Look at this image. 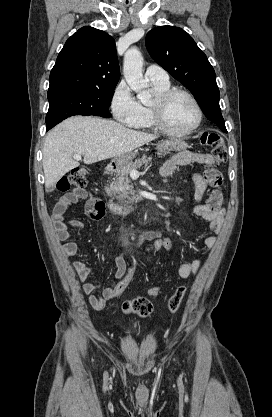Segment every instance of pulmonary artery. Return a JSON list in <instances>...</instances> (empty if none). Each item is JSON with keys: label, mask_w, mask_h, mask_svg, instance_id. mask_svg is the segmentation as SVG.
<instances>
[{"label": "pulmonary artery", "mask_w": 272, "mask_h": 417, "mask_svg": "<svg viewBox=\"0 0 272 417\" xmlns=\"http://www.w3.org/2000/svg\"><path fill=\"white\" fill-rule=\"evenodd\" d=\"M145 77L154 84L166 85L169 83L167 72L158 65H150L147 67Z\"/></svg>", "instance_id": "e3ab8cb5"}]
</instances>
